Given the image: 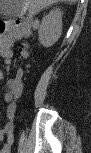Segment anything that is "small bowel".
I'll return each instance as SVG.
<instances>
[{"label":"small bowel","mask_w":91,"mask_h":153,"mask_svg":"<svg viewBox=\"0 0 91 153\" xmlns=\"http://www.w3.org/2000/svg\"><path fill=\"white\" fill-rule=\"evenodd\" d=\"M13 23H9L8 25H11ZM12 35L16 38H20L22 36H27L29 34V30L28 27H22V28H16L14 31H11ZM3 55L5 56H9V48L8 47H4L2 50ZM4 135L7 137V142L8 144L5 146L4 150L6 152L9 151L10 145L13 143L14 137H13V132L11 128H8L4 131Z\"/></svg>","instance_id":"small-bowel-1"}]
</instances>
